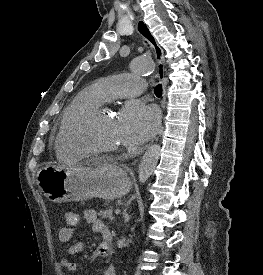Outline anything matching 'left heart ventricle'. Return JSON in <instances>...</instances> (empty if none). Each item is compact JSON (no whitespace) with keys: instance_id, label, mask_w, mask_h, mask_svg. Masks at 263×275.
<instances>
[{"instance_id":"left-heart-ventricle-1","label":"left heart ventricle","mask_w":263,"mask_h":275,"mask_svg":"<svg viewBox=\"0 0 263 275\" xmlns=\"http://www.w3.org/2000/svg\"><path fill=\"white\" fill-rule=\"evenodd\" d=\"M85 141L98 146L124 145L118 118L113 113H107L81 134Z\"/></svg>"}]
</instances>
